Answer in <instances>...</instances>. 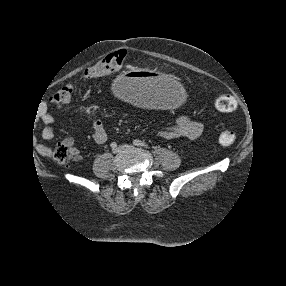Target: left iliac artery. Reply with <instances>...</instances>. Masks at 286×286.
Returning a JSON list of instances; mask_svg holds the SVG:
<instances>
[{"label": "left iliac artery", "mask_w": 286, "mask_h": 286, "mask_svg": "<svg viewBox=\"0 0 286 286\" xmlns=\"http://www.w3.org/2000/svg\"><path fill=\"white\" fill-rule=\"evenodd\" d=\"M133 144L136 146H143L145 148H149V146L145 142H142V141L137 140V139L133 141Z\"/></svg>", "instance_id": "left-iliac-artery-1"}]
</instances>
